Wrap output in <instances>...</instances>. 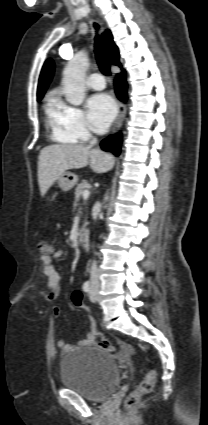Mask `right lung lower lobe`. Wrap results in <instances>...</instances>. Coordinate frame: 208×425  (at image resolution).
I'll list each match as a JSON object with an SVG mask.
<instances>
[{
    "label": "right lung lower lobe",
    "instance_id": "98d812e1",
    "mask_svg": "<svg viewBox=\"0 0 208 425\" xmlns=\"http://www.w3.org/2000/svg\"><path fill=\"white\" fill-rule=\"evenodd\" d=\"M118 77L119 79L116 83V94L120 100L124 101L126 99L127 88L124 70H122V72L118 74ZM100 146L104 151H110L116 156L119 155L121 150V135L115 134L109 136L107 139H104L101 142Z\"/></svg>",
    "mask_w": 208,
    "mask_h": 425
}]
</instances>
